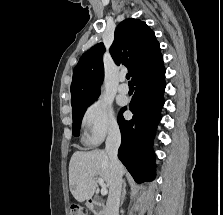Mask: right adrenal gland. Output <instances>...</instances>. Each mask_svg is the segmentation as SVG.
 Returning <instances> with one entry per match:
<instances>
[{
	"mask_svg": "<svg viewBox=\"0 0 223 215\" xmlns=\"http://www.w3.org/2000/svg\"><path fill=\"white\" fill-rule=\"evenodd\" d=\"M126 185H127L126 181H123V187H122V195H121L120 207H121V205H122V203H123V201H124L125 193H127V191H126Z\"/></svg>",
	"mask_w": 223,
	"mask_h": 215,
	"instance_id": "right-adrenal-gland-1",
	"label": "right adrenal gland"
}]
</instances>
